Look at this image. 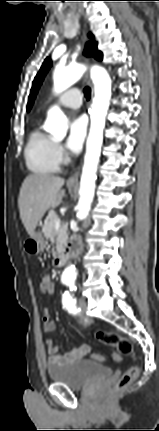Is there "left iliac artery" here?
<instances>
[{
	"label": "left iliac artery",
	"instance_id": "1",
	"mask_svg": "<svg viewBox=\"0 0 159 431\" xmlns=\"http://www.w3.org/2000/svg\"><path fill=\"white\" fill-rule=\"evenodd\" d=\"M62 304L63 307L68 310L69 313L77 314L80 311V309L76 307V299L69 292H66L63 295Z\"/></svg>",
	"mask_w": 159,
	"mask_h": 431
}]
</instances>
